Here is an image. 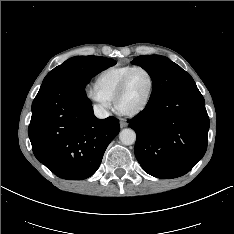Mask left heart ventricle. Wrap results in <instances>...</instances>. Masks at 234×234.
<instances>
[{"mask_svg": "<svg viewBox=\"0 0 234 234\" xmlns=\"http://www.w3.org/2000/svg\"><path fill=\"white\" fill-rule=\"evenodd\" d=\"M149 86V76L145 71L139 70L133 73L125 93L119 100V108L131 111L139 107L147 96Z\"/></svg>", "mask_w": 234, "mask_h": 234, "instance_id": "left-heart-ventricle-1", "label": "left heart ventricle"}]
</instances>
